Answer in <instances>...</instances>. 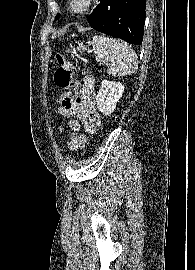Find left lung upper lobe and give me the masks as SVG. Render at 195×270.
I'll return each instance as SVG.
<instances>
[{"label":"left lung upper lobe","mask_w":195,"mask_h":270,"mask_svg":"<svg viewBox=\"0 0 195 270\" xmlns=\"http://www.w3.org/2000/svg\"><path fill=\"white\" fill-rule=\"evenodd\" d=\"M59 16H60V14H57V16H56L55 20H56V19H58V18H59Z\"/></svg>","instance_id":"obj_1"}]
</instances>
